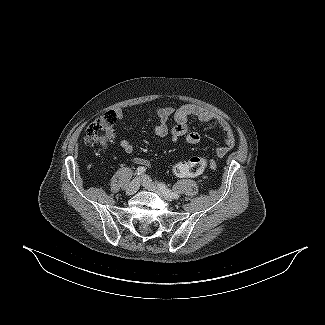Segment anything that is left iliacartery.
I'll list each match as a JSON object with an SVG mask.
<instances>
[{
  "label": "left iliac artery",
  "mask_w": 325,
  "mask_h": 325,
  "mask_svg": "<svg viewBox=\"0 0 325 325\" xmlns=\"http://www.w3.org/2000/svg\"><path fill=\"white\" fill-rule=\"evenodd\" d=\"M158 186H159L160 190H161L164 194H166V195L172 197L173 199H175V198H179V195H178L177 193L173 192L172 190H170L169 188H167V187L165 186V184H163V183H158Z\"/></svg>",
  "instance_id": "44dca946"
}]
</instances>
